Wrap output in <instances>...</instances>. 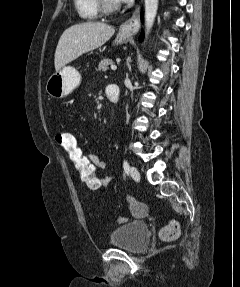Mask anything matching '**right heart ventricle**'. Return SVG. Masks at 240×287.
<instances>
[{
	"mask_svg": "<svg viewBox=\"0 0 240 287\" xmlns=\"http://www.w3.org/2000/svg\"><path fill=\"white\" fill-rule=\"evenodd\" d=\"M74 5L79 16L83 19H96L101 12L97 0H74Z\"/></svg>",
	"mask_w": 240,
	"mask_h": 287,
	"instance_id": "1",
	"label": "right heart ventricle"
}]
</instances>
